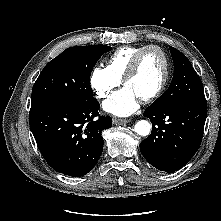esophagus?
<instances>
[{
	"mask_svg": "<svg viewBox=\"0 0 221 221\" xmlns=\"http://www.w3.org/2000/svg\"><path fill=\"white\" fill-rule=\"evenodd\" d=\"M128 122H130L129 119H121V118H114V119H113V123H114L115 125H122V124H126V123H128Z\"/></svg>",
	"mask_w": 221,
	"mask_h": 221,
	"instance_id": "1",
	"label": "esophagus"
}]
</instances>
